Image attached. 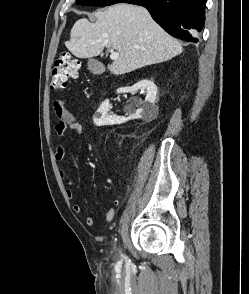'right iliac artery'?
Here are the masks:
<instances>
[{
    "mask_svg": "<svg viewBox=\"0 0 249 294\" xmlns=\"http://www.w3.org/2000/svg\"><path fill=\"white\" fill-rule=\"evenodd\" d=\"M121 256L125 261H128V258L125 255L121 254Z\"/></svg>",
    "mask_w": 249,
    "mask_h": 294,
    "instance_id": "right-iliac-artery-1",
    "label": "right iliac artery"
}]
</instances>
